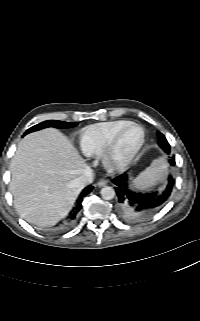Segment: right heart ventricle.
Instances as JSON below:
<instances>
[{
    "label": "right heart ventricle",
    "mask_w": 200,
    "mask_h": 321,
    "mask_svg": "<svg viewBox=\"0 0 200 321\" xmlns=\"http://www.w3.org/2000/svg\"><path fill=\"white\" fill-rule=\"evenodd\" d=\"M129 123L128 120H115L87 126L79 138L82 152L90 157L101 155L116 133Z\"/></svg>",
    "instance_id": "e07e8e85"
}]
</instances>
